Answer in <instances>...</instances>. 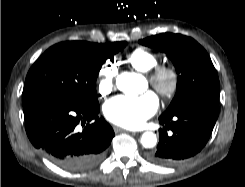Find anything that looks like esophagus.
<instances>
[{
	"label": "esophagus",
	"mask_w": 245,
	"mask_h": 187,
	"mask_svg": "<svg viewBox=\"0 0 245 187\" xmlns=\"http://www.w3.org/2000/svg\"><path fill=\"white\" fill-rule=\"evenodd\" d=\"M114 130H115V132L127 131V130L120 128V127H117V126L114 127Z\"/></svg>",
	"instance_id": "34e87169"
}]
</instances>
